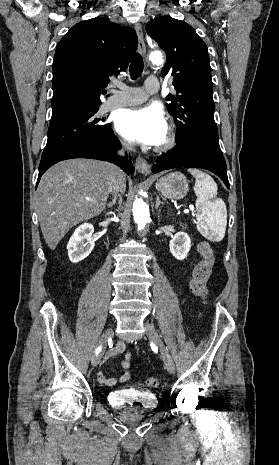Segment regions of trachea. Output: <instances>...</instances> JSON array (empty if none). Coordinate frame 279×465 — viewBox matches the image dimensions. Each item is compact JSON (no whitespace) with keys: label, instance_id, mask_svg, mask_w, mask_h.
<instances>
[{"label":"trachea","instance_id":"trachea-1","mask_svg":"<svg viewBox=\"0 0 279 465\" xmlns=\"http://www.w3.org/2000/svg\"><path fill=\"white\" fill-rule=\"evenodd\" d=\"M144 63L141 55L138 53L133 56L131 59V65H130V76L132 80H136L140 75L141 72L143 71Z\"/></svg>","mask_w":279,"mask_h":465}]
</instances>
